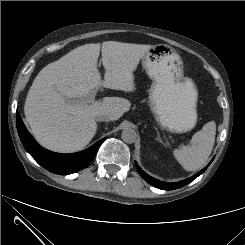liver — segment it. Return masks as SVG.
I'll return each instance as SVG.
<instances>
[{"label":"liver","instance_id":"liver-1","mask_svg":"<svg viewBox=\"0 0 245 245\" xmlns=\"http://www.w3.org/2000/svg\"><path fill=\"white\" fill-rule=\"evenodd\" d=\"M151 47L116 41L85 44L46 65L35 77L24 105L26 120L39 144L55 152H77L96 134L97 115L118 120L130 108L127 99L105 97L102 102L80 104L71 99L85 97L101 85L135 91L133 72ZM100 51L103 82L97 69Z\"/></svg>","mask_w":245,"mask_h":245}]
</instances>
